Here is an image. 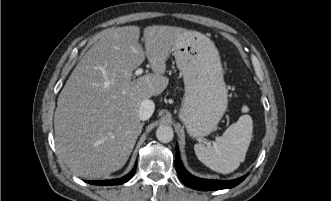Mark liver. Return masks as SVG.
<instances>
[{
    "label": "liver",
    "mask_w": 331,
    "mask_h": 201,
    "mask_svg": "<svg viewBox=\"0 0 331 201\" xmlns=\"http://www.w3.org/2000/svg\"><path fill=\"white\" fill-rule=\"evenodd\" d=\"M188 30L153 25L109 28L84 54L57 101L55 142L66 166L77 176L100 178L121 169L142 131V101L161 94L173 47ZM147 57L153 73L133 78Z\"/></svg>",
    "instance_id": "6515ba94"
}]
</instances>
